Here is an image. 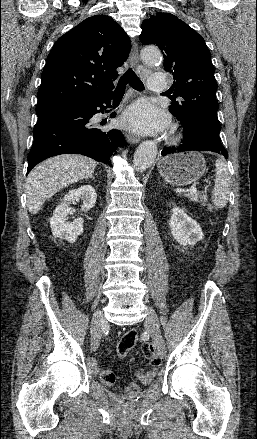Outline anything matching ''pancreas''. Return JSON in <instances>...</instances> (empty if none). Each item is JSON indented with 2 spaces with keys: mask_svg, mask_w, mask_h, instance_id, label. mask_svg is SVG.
I'll use <instances>...</instances> for the list:
<instances>
[{
  "mask_svg": "<svg viewBox=\"0 0 257 439\" xmlns=\"http://www.w3.org/2000/svg\"><path fill=\"white\" fill-rule=\"evenodd\" d=\"M188 197L191 201L201 203L202 205H205L208 200L207 196L202 193L190 194Z\"/></svg>",
  "mask_w": 257,
  "mask_h": 439,
  "instance_id": "cf45deb5",
  "label": "pancreas"
}]
</instances>
